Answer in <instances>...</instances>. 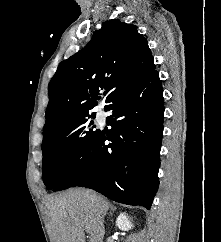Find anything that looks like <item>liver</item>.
Returning a JSON list of instances; mask_svg holds the SVG:
<instances>
[{"label": "liver", "mask_w": 221, "mask_h": 242, "mask_svg": "<svg viewBox=\"0 0 221 242\" xmlns=\"http://www.w3.org/2000/svg\"><path fill=\"white\" fill-rule=\"evenodd\" d=\"M49 236L52 242H103L104 216L111 204L102 196L85 189H69L46 204Z\"/></svg>", "instance_id": "1"}]
</instances>
